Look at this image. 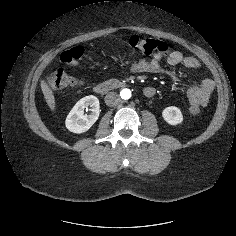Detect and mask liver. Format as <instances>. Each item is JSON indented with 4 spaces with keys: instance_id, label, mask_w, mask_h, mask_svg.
Segmentation results:
<instances>
[{
    "instance_id": "6515ba94",
    "label": "liver",
    "mask_w": 236,
    "mask_h": 236,
    "mask_svg": "<svg viewBox=\"0 0 236 236\" xmlns=\"http://www.w3.org/2000/svg\"><path fill=\"white\" fill-rule=\"evenodd\" d=\"M41 89L49 108L54 111L56 107L54 93L45 80H41Z\"/></svg>"
}]
</instances>
